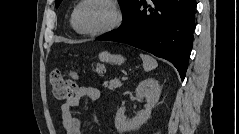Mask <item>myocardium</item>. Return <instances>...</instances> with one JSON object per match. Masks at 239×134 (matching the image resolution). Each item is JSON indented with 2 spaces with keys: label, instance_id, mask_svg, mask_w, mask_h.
<instances>
[{
  "label": "myocardium",
  "instance_id": "1",
  "mask_svg": "<svg viewBox=\"0 0 239 134\" xmlns=\"http://www.w3.org/2000/svg\"><path fill=\"white\" fill-rule=\"evenodd\" d=\"M92 1L101 2V3H104L105 5H107L112 12V20L106 27H104L100 30L84 31V30H81L77 25V16H78V13H79V10L81 9V7L84 4H86L88 2H92ZM120 22H121V13H120L117 5L111 0H83V1H80L77 4V6L75 7V9L72 13V17H71V23H72V26L75 29V31L80 35L90 36V37L101 36L106 33H109L112 30H114L115 28H117L119 26Z\"/></svg>",
  "mask_w": 239,
  "mask_h": 134
}]
</instances>
